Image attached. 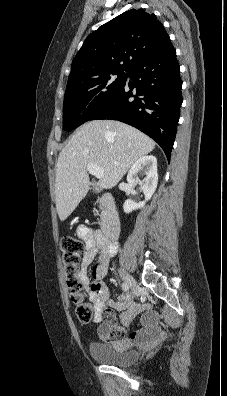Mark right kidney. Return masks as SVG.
<instances>
[{
	"label": "right kidney",
	"mask_w": 227,
	"mask_h": 396,
	"mask_svg": "<svg viewBox=\"0 0 227 396\" xmlns=\"http://www.w3.org/2000/svg\"><path fill=\"white\" fill-rule=\"evenodd\" d=\"M138 174L145 175L143 180H139ZM127 182L130 186L138 184L143 191L145 200L139 203L131 199L124 202L123 209L125 213L141 209L145 203L151 199L158 184L157 159L155 156H143L139 158L130 168L127 174Z\"/></svg>",
	"instance_id": "ca27d5eb"
}]
</instances>
